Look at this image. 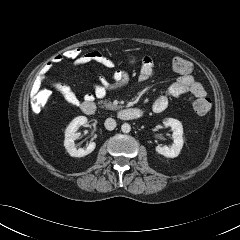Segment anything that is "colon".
Returning a JSON list of instances; mask_svg holds the SVG:
<instances>
[{"label":"colon","mask_w":240,"mask_h":240,"mask_svg":"<svg viewBox=\"0 0 240 240\" xmlns=\"http://www.w3.org/2000/svg\"><path fill=\"white\" fill-rule=\"evenodd\" d=\"M85 52L80 47H71L60 53L63 60L70 61L75 65H83ZM172 68L179 74H189L192 71V64L181 57H175L172 61ZM49 95L42 91L32 97L31 106L36 112L47 102ZM191 105L195 113L199 116H205L211 109V102L208 98L192 97Z\"/></svg>","instance_id":"obj_1"}]
</instances>
